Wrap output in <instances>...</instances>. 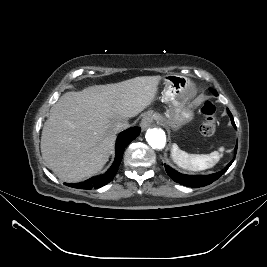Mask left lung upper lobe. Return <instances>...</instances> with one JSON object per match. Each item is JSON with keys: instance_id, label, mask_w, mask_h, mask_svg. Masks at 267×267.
Segmentation results:
<instances>
[{"instance_id": "obj_1", "label": "left lung upper lobe", "mask_w": 267, "mask_h": 267, "mask_svg": "<svg viewBox=\"0 0 267 267\" xmlns=\"http://www.w3.org/2000/svg\"><path fill=\"white\" fill-rule=\"evenodd\" d=\"M212 93L217 96V92L215 90Z\"/></svg>"}]
</instances>
